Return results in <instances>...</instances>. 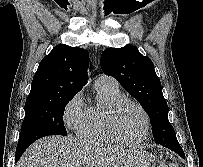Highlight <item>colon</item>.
Returning <instances> with one entry per match:
<instances>
[{
	"mask_svg": "<svg viewBox=\"0 0 203 167\" xmlns=\"http://www.w3.org/2000/svg\"><path fill=\"white\" fill-rule=\"evenodd\" d=\"M158 167H177L174 158L165 152L158 154Z\"/></svg>",
	"mask_w": 203,
	"mask_h": 167,
	"instance_id": "5ec220e1",
	"label": "colon"
}]
</instances>
